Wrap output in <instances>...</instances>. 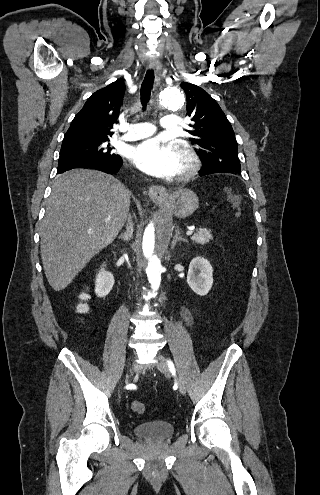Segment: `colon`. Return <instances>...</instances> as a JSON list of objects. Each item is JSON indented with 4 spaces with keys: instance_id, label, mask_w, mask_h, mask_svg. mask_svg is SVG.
<instances>
[{
    "instance_id": "obj_1",
    "label": "colon",
    "mask_w": 320,
    "mask_h": 495,
    "mask_svg": "<svg viewBox=\"0 0 320 495\" xmlns=\"http://www.w3.org/2000/svg\"><path fill=\"white\" fill-rule=\"evenodd\" d=\"M224 195H225L226 200L232 205V207L239 208L240 197L236 194V192L234 191V189L232 187H225ZM86 297L87 296L85 294L82 295L81 301L78 304V310L81 313L86 312L88 309V305L86 303ZM131 408H132V411L138 415L143 414L145 412V405H144V403H142L140 401L133 402Z\"/></svg>"
}]
</instances>
